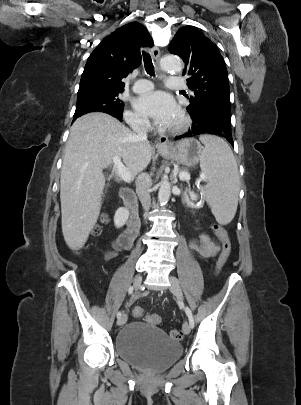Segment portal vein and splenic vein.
Segmentation results:
<instances>
[{"instance_id":"obj_1","label":"portal vein and splenic vein","mask_w":301,"mask_h":405,"mask_svg":"<svg viewBox=\"0 0 301 405\" xmlns=\"http://www.w3.org/2000/svg\"><path fill=\"white\" fill-rule=\"evenodd\" d=\"M113 163H114V172L120 177L122 178L123 181L130 183L132 181V176L130 175V173L127 171L126 167L123 165V163L121 162V158L116 156L113 158ZM179 178L180 180L183 181H189L190 180V174L187 172H180L179 173ZM191 198L193 200H196L195 196L193 194H191Z\"/></svg>"}]
</instances>
